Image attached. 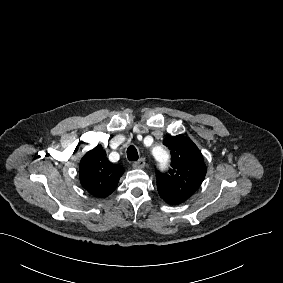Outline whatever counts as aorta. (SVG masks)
<instances>
[{"label": "aorta", "instance_id": "762f6f07", "mask_svg": "<svg viewBox=\"0 0 283 283\" xmlns=\"http://www.w3.org/2000/svg\"><path fill=\"white\" fill-rule=\"evenodd\" d=\"M152 153L154 158L161 164V166L164 167L167 164L169 155L161 146L155 147Z\"/></svg>", "mask_w": 283, "mask_h": 283}]
</instances>
